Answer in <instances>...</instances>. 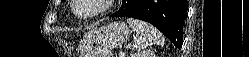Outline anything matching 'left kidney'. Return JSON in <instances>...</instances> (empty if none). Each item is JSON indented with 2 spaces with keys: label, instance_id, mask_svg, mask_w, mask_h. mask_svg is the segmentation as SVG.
<instances>
[{
  "label": "left kidney",
  "instance_id": "1",
  "mask_svg": "<svg viewBox=\"0 0 249 57\" xmlns=\"http://www.w3.org/2000/svg\"><path fill=\"white\" fill-rule=\"evenodd\" d=\"M131 57H156V55L152 50L148 49L134 53Z\"/></svg>",
  "mask_w": 249,
  "mask_h": 57
}]
</instances>
